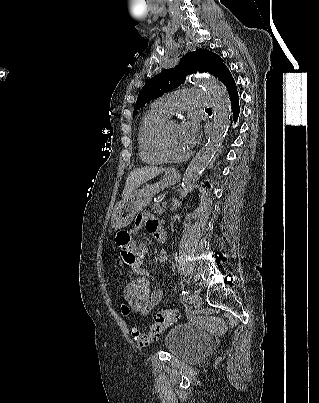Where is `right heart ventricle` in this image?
I'll list each match as a JSON object with an SVG mask.
<instances>
[{
	"label": "right heart ventricle",
	"mask_w": 319,
	"mask_h": 403,
	"mask_svg": "<svg viewBox=\"0 0 319 403\" xmlns=\"http://www.w3.org/2000/svg\"><path fill=\"white\" fill-rule=\"evenodd\" d=\"M169 116L153 104L141 118L138 127V148L139 156L144 163L156 165L164 162L155 151L154 135Z\"/></svg>",
	"instance_id": "right-heart-ventricle-1"
}]
</instances>
